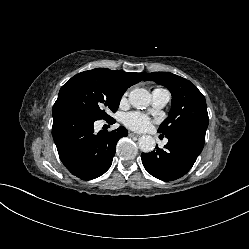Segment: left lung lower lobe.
I'll return each mask as SVG.
<instances>
[{"mask_svg":"<svg viewBox=\"0 0 249 249\" xmlns=\"http://www.w3.org/2000/svg\"><path fill=\"white\" fill-rule=\"evenodd\" d=\"M206 131L186 129L165 135L164 149L156 146L150 153H142L145 169L154 177L172 181L185 175L195 163L205 143Z\"/></svg>","mask_w":249,"mask_h":249,"instance_id":"1","label":"left lung lower lobe"}]
</instances>
